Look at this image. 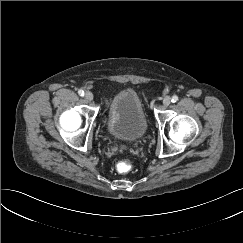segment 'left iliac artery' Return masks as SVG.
I'll return each mask as SVG.
<instances>
[{"instance_id": "left-iliac-artery-1", "label": "left iliac artery", "mask_w": 243, "mask_h": 243, "mask_svg": "<svg viewBox=\"0 0 243 243\" xmlns=\"http://www.w3.org/2000/svg\"><path fill=\"white\" fill-rule=\"evenodd\" d=\"M172 102H177L178 101V96L177 95H174L173 97H172V100H171Z\"/></svg>"}]
</instances>
